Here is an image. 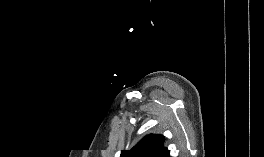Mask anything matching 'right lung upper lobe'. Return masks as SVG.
<instances>
[{
  "label": "right lung upper lobe",
  "instance_id": "cb5924a9",
  "mask_svg": "<svg viewBox=\"0 0 264 157\" xmlns=\"http://www.w3.org/2000/svg\"><path fill=\"white\" fill-rule=\"evenodd\" d=\"M164 136L150 134L140 140L131 150H123L120 157H170L163 146Z\"/></svg>",
  "mask_w": 264,
  "mask_h": 157
}]
</instances>
